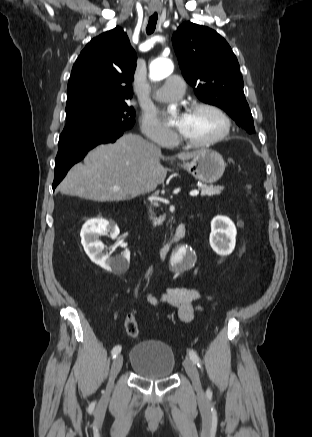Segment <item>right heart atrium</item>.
Wrapping results in <instances>:
<instances>
[{"label": "right heart atrium", "mask_w": 312, "mask_h": 437, "mask_svg": "<svg viewBox=\"0 0 312 437\" xmlns=\"http://www.w3.org/2000/svg\"><path fill=\"white\" fill-rule=\"evenodd\" d=\"M141 131L145 137L162 147L172 145L175 140V134L151 113L141 118Z\"/></svg>", "instance_id": "d8ad5b80"}]
</instances>
